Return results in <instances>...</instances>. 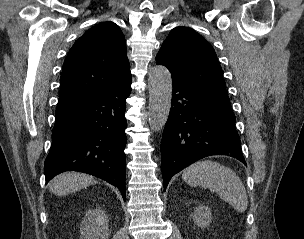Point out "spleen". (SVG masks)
<instances>
[{
	"label": "spleen",
	"instance_id": "obj_1",
	"mask_svg": "<svg viewBox=\"0 0 304 239\" xmlns=\"http://www.w3.org/2000/svg\"><path fill=\"white\" fill-rule=\"evenodd\" d=\"M182 179L190 186L209 188L211 192L218 193L238 212L247 209L248 197L244 184L229 167L210 160L198 161L184 170Z\"/></svg>",
	"mask_w": 304,
	"mask_h": 239
}]
</instances>
